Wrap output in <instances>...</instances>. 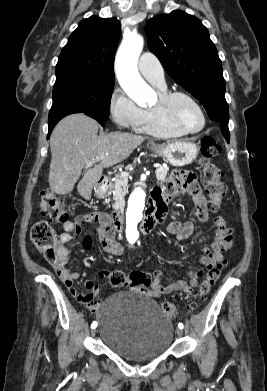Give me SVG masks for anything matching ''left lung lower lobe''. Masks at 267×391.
Returning a JSON list of instances; mask_svg holds the SVG:
<instances>
[{"label": "left lung lower lobe", "instance_id": "1", "mask_svg": "<svg viewBox=\"0 0 267 391\" xmlns=\"http://www.w3.org/2000/svg\"><path fill=\"white\" fill-rule=\"evenodd\" d=\"M217 123L219 124L221 132L224 135V137L226 138L227 142H229L230 133H229V129H228V121H218Z\"/></svg>", "mask_w": 267, "mask_h": 391}]
</instances>
